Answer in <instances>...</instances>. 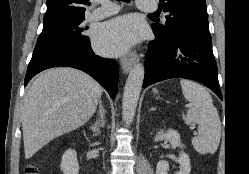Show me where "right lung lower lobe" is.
<instances>
[{"label":"right lung lower lobe","mask_w":249,"mask_h":174,"mask_svg":"<svg viewBox=\"0 0 249 174\" xmlns=\"http://www.w3.org/2000/svg\"><path fill=\"white\" fill-rule=\"evenodd\" d=\"M55 66L80 69L92 76L110 94H117L118 64L113 59L96 56L90 43L59 45L33 52L28 65L25 86L37 73Z\"/></svg>","instance_id":"obj_1"}]
</instances>
